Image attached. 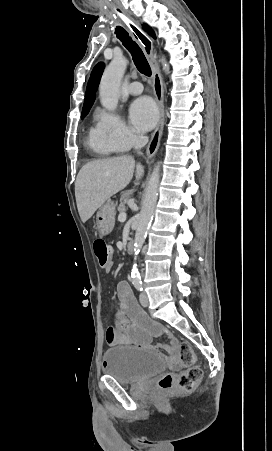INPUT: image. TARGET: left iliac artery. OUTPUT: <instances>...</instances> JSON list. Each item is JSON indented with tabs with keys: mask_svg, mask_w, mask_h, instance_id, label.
<instances>
[{
	"mask_svg": "<svg viewBox=\"0 0 272 451\" xmlns=\"http://www.w3.org/2000/svg\"><path fill=\"white\" fill-rule=\"evenodd\" d=\"M133 284H134L135 288H136L138 291H143V286H142V281H141V280H135V281L133 282Z\"/></svg>",
	"mask_w": 272,
	"mask_h": 451,
	"instance_id": "1",
	"label": "left iliac artery"
}]
</instances>
